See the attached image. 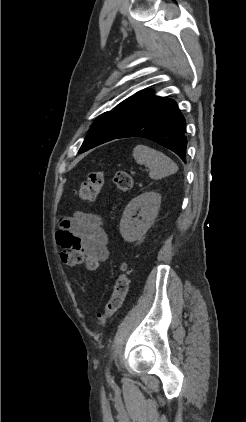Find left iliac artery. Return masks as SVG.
Returning a JSON list of instances; mask_svg holds the SVG:
<instances>
[{"label":"left iliac artery","mask_w":246,"mask_h":422,"mask_svg":"<svg viewBox=\"0 0 246 422\" xmlns=\"http://www.w3.org/2000/svg\"><path fill=\"white\" fill-rule=\"evenodd\" d=\"M107 377H108L109 380H111V377L109 375V369L108 368H107Z\"/></svg>","instance_id":"44dca946"}]
</instances>
